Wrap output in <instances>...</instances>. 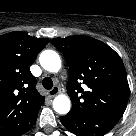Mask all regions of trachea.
<instances>
[{
  "instance_id": "1",
  "label": "trachea",
  "mask_w": 136,
  "mask_h": 136,
  "mask_svg": "<svg viewBox=\"0 0 136 136\" xmlns=\"http://www.w3.org/2000/svg\"><path fill=\"white\" fill-rule=\"evenodd\" d=\"M42 85L45 89L50 90L53 87V81L50 77H45L42 81Z\"/></svg>"
}]
</instances>
